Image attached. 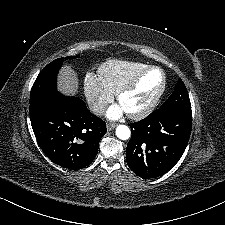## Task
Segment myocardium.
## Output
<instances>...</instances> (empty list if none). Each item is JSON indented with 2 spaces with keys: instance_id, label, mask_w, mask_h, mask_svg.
<instances>
[{
  "instance_id": "obj_1",
  "label": "myocardium",
  "mask_w": 225,
  "mask_h": 225,
  "mask_svg": "<svg viewBox=\"0 0 225 225\" xmlns=\"http://www.w3.org/2000/svg\"><path fill=\"white\" fill-rule=\"evenodd\" d=\"M157 71L161 74L162 77V82H161V86L158 90V92L155 94V96L153 97V99L149 102V104L143 108L140 112L138 113H127L128 117L133 119V120H141L145 117H147L156 107V105L158 104V102L160 101L161 97L163 96L165 89H166V85H167V80H166V75L164 73V71L157 67V66H147L146 68H144L141 72H139L132 81H130L128 84H126L125 86H123L117 93H116V99L118 102H120V100L128 93L134 91L139 83L141 82V80L143 79V77L149 72V71Z\"/></svg>"
}]
</instances>
